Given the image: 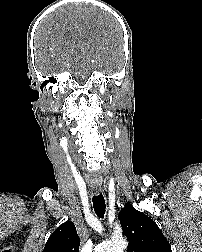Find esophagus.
Masks as SVG:
<instances>
[{
  "label": "esophagus",
  "instance_id": "34e87169",
  "mask_svg": "<svg viewBox=\"0 0 202 252\" xmlns=\"http://www.w3.org/2000/svg\"><path fill=\"white\" fill-rule=\"evenodd\" d=\"M93 191L95 194H99L101 192V187H95L93 188Z\"/></svg>",
  "mask_w": 202,
  "mask_h": 252
}]
</instances>
